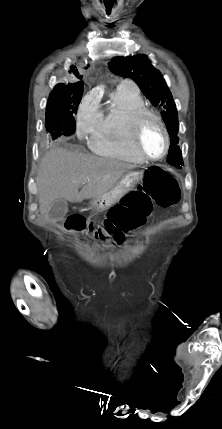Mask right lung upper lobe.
Here are the masks:
<instances>
[{
	"mask_svg": "<svg viewBox=\"0 0 222 429\" xmlns=\"http://www.w3.org/2000/svg\"><path fill=\"white\" fill-rule=\"evenodd\" d=\"M76 67L75 66H71L70 67V70H69V73L75 78V79H81V75L79 74V72H78V70L77 69H75ZM78 84H82L83 85V83L81 82V81H78V82H76V83H68L67 85H65V84H63V83H59V84H57L55 87H54V89H53V91L51 92V93H61V92H67V91H70L71 89H73L76 85H78Z\"/></svg>",
	"mask_w": 222,
	"mask_h": 429,
	"instance_id": "obj_1",
	"label": "right lung upper lobe"
}]
</instances>
